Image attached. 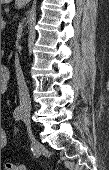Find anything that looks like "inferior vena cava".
Instances as JSON below:
<instances>
[{
  "mask_svg": "<svg viewBox=\"0 0 109 170\" xmlns=\"http://www.w3.org/2000/svg\"><path fill=\"white\" fill-rule=\"evenodd\" d=\"M15 70H16L18 89H19L20 104L24 108L30 109L31 107L30 96H29L28 88H27V85L24 79V75H23L17 54L15 57Z\"/></svg>",
  "mask_w": 109,
  "mask_h": 170,
  "instance_id": "obj_1",
  "label": "inferior vena cava"
}]
</instances>
